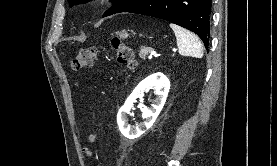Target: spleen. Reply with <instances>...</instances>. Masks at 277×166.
Masks as SVG:
<instances>
[{
	"label": "spleen",
	"instance_id": "1",
	"mask_svg": "<svg viewBox=\"0 0 277 166\" xmlns=\"http://www.w3.org/2000/svg\"><path fill=\"white\" fill-rule=\"evenodd\" d=\"M170 27L175 33L180 55L195 58L203 57V45L195 34L173 23H170Z\"/></svg>",
	"mask_w": 277,
	"mask_h": 166
}]
</instances>
